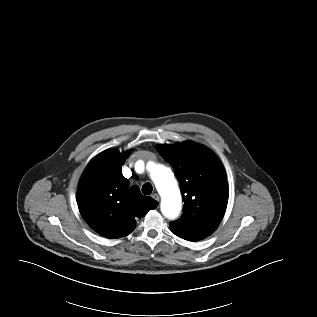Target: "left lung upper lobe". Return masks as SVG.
<instances>
[{"instance_id": "5c2ea615", "label": "left lung upper lobe", "mask_w": 317, "mask_h": 317, "mask_svg": "<svg viewBox=\"0 0 317 317\" xmlns=\"http://www.w3.org/2000/svg\"><path fill=\"white\" fill-rule=\"evenodd\" d=\"M160 155L169 162L179 180L184 206L180 219L170 229L184 224L218 226L228 203V183L218 157L204 145L184 141L158 145Z\"/></svg>"}]
</instances>
